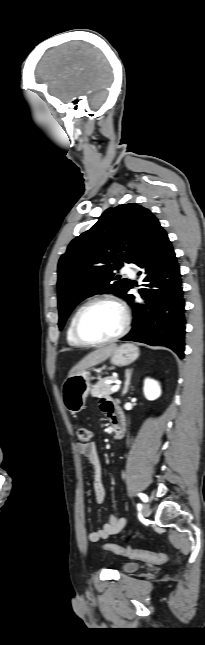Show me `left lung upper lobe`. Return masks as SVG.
<instances>
[{
  "mask_svg": "<svg viewBox=\"0 0 205 645\" xmlns=\"http://www.w3.org/2000/svg\"><path fill=\"white\" fill-rule=\"evenodd\" d=\"M156 220L147 208L123 204L107 209L91 229L71 241L58 264L60 329L87 297L107 292L125 297L131 282L118 280L114 272L122 262L132 263L141 239Z\"/></svg>",
  "mask_w": 205,
  "mask_h": 645,
  "instance_id": "obj_1",
  "label": "left lung upper lobe"
}]
</instances>
